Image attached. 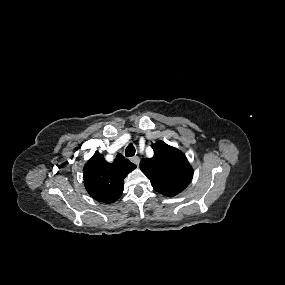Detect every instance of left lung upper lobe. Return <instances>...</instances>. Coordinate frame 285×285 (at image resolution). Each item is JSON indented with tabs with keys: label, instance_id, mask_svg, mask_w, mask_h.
I'll list each match as a JSON object with an SVG mask.
<instances>
[{
	"label": "left lung upper lobe",
	"instance_id": "5c2ea615",
	"mask_svg": "<svg viewBox=\"0 0 285 285\" xmlns=\"http://www.w3.org/2000/svg\"><path fill=\"white\" fill-rule=\"evenodd\" d=\"M154 156L140 162L142 172L159 193L174 196L191 182L193 170L186 156L178 149L158 141L152 145Z\"/></svg>",
	"mask_w": 285,
	"mask_h": 285
}]
</instances>
